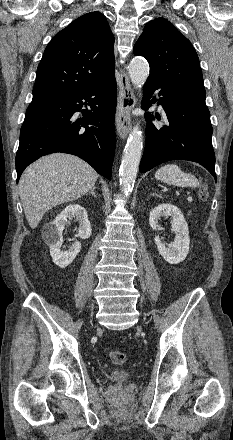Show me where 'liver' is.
I'll list each match as a JSON object with an SVG mask.
<instances>
[{
	"label": "liver",
	"instance_id": "obj_1",
	"mask_svg": "<svg viewBox=\"0 0 233 440\" xmlns=\"http://www.w3.org/2000/svg\"><path fill=\"white\" fill-rule=\"evenodd\" d=\"M97 172L79 157L54 153L32 163L19 181V194L26 219L35 229L43 215L62 203L90 191Z\"/></svg>",
	"mask_w": 233,
	"mask_h": 440
}]
</instances>
